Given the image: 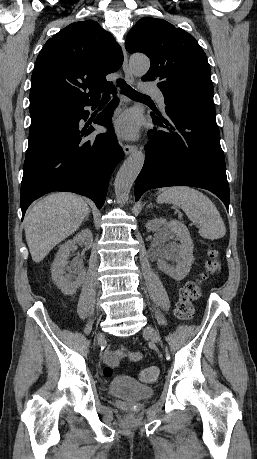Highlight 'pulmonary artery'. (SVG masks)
Masks as SVG:
<instances>
[{
    "mask_svg": "<svg viewBox=\"0 0 257 459\" xmlns=\"http://www.w3.org/2000/svg\"><path fill=\"white\" fill-rule=\"evenodd\" d=\"M146 93L148 94H151L155 100L157 101L158 105L160 106V108L164 109L165 108V99H164V96L162 94V92L157 89V88H146L144 90Z\"/></svg>",
    "mask_w": 257,
    "mask_h": 459,
    "instance_id": "e3ab8cb5",
    "label": "pulmonary artery"
}]
</instances>
